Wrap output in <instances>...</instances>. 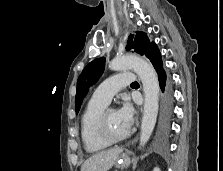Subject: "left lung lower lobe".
Returning a JSON list of instances; mask_svg holds the SVG:
<instances>
[{
  "instance_id": "1",
  "label": "left lung lower lobe",
  "mask_w": 223,
  "mask_h": 171,
  "mask_svg": "<svg viewBox=\"0 0 223 171\" xmlns=\"http://www.w3.org/2000/svg\"><path fill=\"white\" fill-rule=\"evenodd\" d=\"M146 57L151 61L157 74L159 85L162 91V109H161V119L158 131V141L164 143L170 132V123L173 113V89L172 81L163 69V62L161 59L160 51L155 43L151 45Z\"/></svg>"
}]
</instances>
